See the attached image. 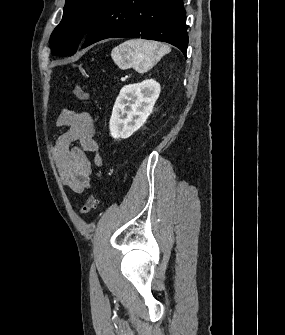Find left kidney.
Returning a JSON list of instances; mask_svg holds the SVG:
<instances>
[{
    "instance_id": "5707ae66",
    "label": "left kidney",
    "mask_w": 285,
    "mask_h": 335,
    "mask_svg": "<svg viewBox=\"0 0 285 335\" xmlns=\"http://www.w3.org/2000/svg\"><path fill=\"white\" fill-rule=\"evenodd\" d=\"M160 92V84L155 80L124 86L113 106L109 122L112 138H130L133 132L139 130L152 114Z\"/></svg>"
}]
</instances>
